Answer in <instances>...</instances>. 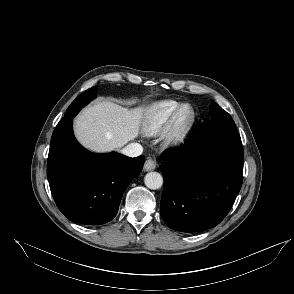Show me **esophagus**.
I'll return each mask as SVG.
<instances>
[{"instance_id":"esophagus-1","label":"esophagus","mask_w":294,"mask_h":294,"mask_svg":"<svg viewBox=\"0 0 294 294\" xmlns=\"http://www.w3.org/2000/svg\"><path fill=\"white\" fill-rule=\"evenodd\" d=\"M155 168H156V162L151 158H147L143 166L144 171H152Z\"/></svg>"}]
</instances>
